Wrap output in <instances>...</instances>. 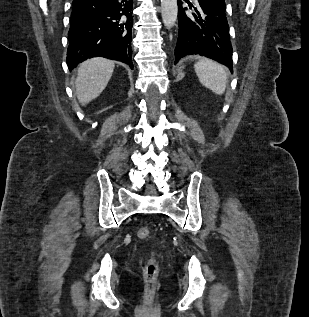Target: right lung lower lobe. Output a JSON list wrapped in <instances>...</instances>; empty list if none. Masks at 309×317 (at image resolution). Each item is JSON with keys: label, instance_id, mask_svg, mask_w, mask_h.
Here are the masks:
<instances>
[{"label": "right lung lower lobe", "instance_id": "right-lung-lower-lobe-1", "mask_svg": "<svg viewBox=\"0 0 309 317\" xmlns=\"http://www.w3.org/2000/svg\"><path fill=\"white\" fill-rule=\"evenodd\" d=\"M133 0H73L67 65L96 56L124 62L133 69Z\"/></svg>", "mask_w": 309, "mask_h": 317}]
</instances>
